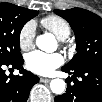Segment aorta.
Here are the masks:
<instances>
[{
	"instance_id": "aorta-1",
	"label": "aorta",
	"mask_w": 102,
	"mask_h": 102,
	"mask_svg": "<svg viewBox=\"0 0 102 102\" xmlns=\"http://www.w3.org/2000/svg\"><path fill=\"white\" fill-rule=\"evenodd\" d=\"M36 45L40 50L46 52H54L57 49V42L51 33L40 35L36 38ZM51 91L57 95L63 94L66 88V83L63 79H53L50 82Z\"/></svg>"
}]
</instances>
